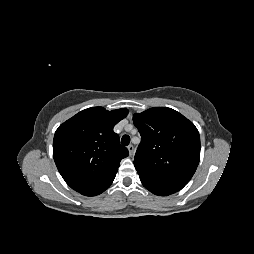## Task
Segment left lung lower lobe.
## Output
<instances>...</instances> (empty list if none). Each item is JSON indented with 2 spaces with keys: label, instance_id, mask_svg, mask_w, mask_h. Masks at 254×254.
<instances>
[{
  "label": "left lung lower lobe",
  "instance_id": "0a47b994",
  "mask_svg": "<svg viewBox=\"0 0 254 254\" xmlns=\"http://www.w3.org/2000/svg\"><path fill=\"white\" fill-rule=\"evenodd\" d=\"M143 186L153 194L167 196L181 190L186 184L151 176L141 170H137Z\"/></svg>",
  "mask_w": 254,
  "mask_h": 254
}]
</instances>
